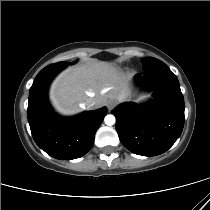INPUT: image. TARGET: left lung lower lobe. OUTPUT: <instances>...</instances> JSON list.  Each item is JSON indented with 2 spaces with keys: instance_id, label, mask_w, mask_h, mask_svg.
<instances>
[{
  "instance_id": "0a47b994",
  "label": "left lung lower lobe",
  "mask_w": 210,
  "mask_h": 210,
  "mask_svg": "<svg viewBox=\"0 0 210 210\" xmlns=\"http://www.w3.org/2000/svg\"><path fill=\"white\" fill-rule=\"evenodd\" d=\"M137 81L155 89L148 106L125 103L112 110L120 141L132 153L156 156L167 151L184 126V98L176 75L161 62L136 75Z\"/></svg>"
}]
</instances>
